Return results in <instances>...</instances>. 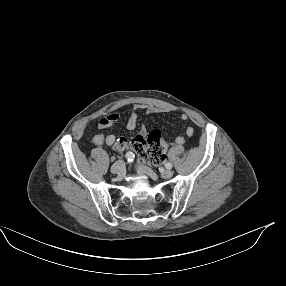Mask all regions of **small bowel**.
<instances>
[{
  "label": "small bowel",
  "mask_w": 286,
  "mask_h": 286,
  "mask_svg": "<svg viewBox=\"0 0 286 286\" xmlns=\"http://www.w3.org/2000/svg\"><path fill=\"white\" fill-rule=\"evenodd\" d=\"M140 110H145L146 112L151 113V114L163 113V112L167 111L166 108H163V107H160L157 105H136L131 109L130 115H129L127 122H126V127L128 130H134L137 127L138 112ZM179 118L181 121H186V120H188L189 117L187 114L182 113L179 116ZM118 119H119L118 113H112V114H109L107 116H104V117L99 119L98 128L101 130L110 128L111 126H113L118 121ZM139 133H140V135L145 136L147 134L146 126H142ZM193 134H194V129L192 127H187L184 135H179L176 137L175 144L177 146L183 145L186 141V137H192ZM116 140H117L116 136H114L112 134L105 135L102 133L96 134L92 138V142L98 146L103 145V144H106L107 146H112L115 144ZM163 144H164V147L166 149L167 142L165 140L163 141ZM119 150H123V149H119Z\"/></svg>",
  "instance_id": "c3829d8e"
}]
</instances>
